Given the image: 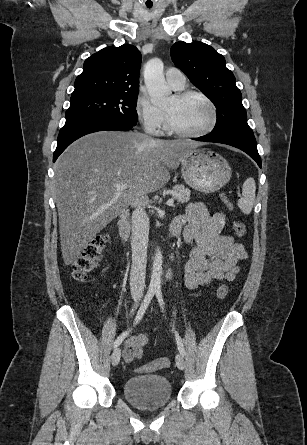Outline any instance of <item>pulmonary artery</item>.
<instances>
[{"mask_svg":"<svg viewBox=\"0 0 307 445\" xmlns=\"http://www.w3.org/2000/svg\"><path fill=\"white\" fill-rule=\"evenodd\" d=\"M166 79L168 84L174 89H182L185 85V79L182 78V69H169L166 71Z\"/></svg>","mask_w":307,"mask_h":445,"instance_id":"e3ab8cb5","label":"pulmonary artery"}]
</instances>
